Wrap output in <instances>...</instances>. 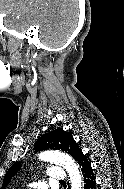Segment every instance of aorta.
<instances>
[{
    "mask_svg": "<svg viewBox=\"0 0 124 189\" xmlns=\"http://www.w3.org/2000/svg\"><path fill=\"white\" fill-rule=\"evenodd\" d=\"M39 159L44 162L61 165L70 177L71 189H82V178L79 167L69 155L59 151L49 150L40 153Z\"/></svg>",
    "mask_w": 124,
    "mask_h": 189,
    "instance_id": "762f6f07",
    "label": "aorta"
}]
</instances>
